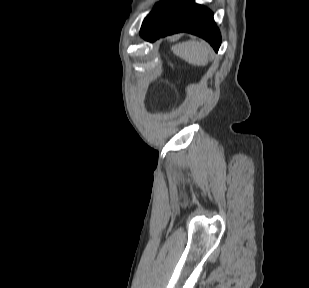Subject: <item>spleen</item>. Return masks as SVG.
<instances>
[{
    "label": "spleen",
    "instance_id": "obj_1",
    "mask_svg": "<svg viewBox=\"0 0 309 288\" xmlns=\"http://www.w3.org/2000/svg\"><path fill=\"white\" fill-rule=\"evenodd\" d=\"M173 53L194 66H205L209 60L210 48L207 43L186 41L172 47Z\"/></svg>",
    "mask_w": 309,
    "mask_h": 288
}]
</instances>
